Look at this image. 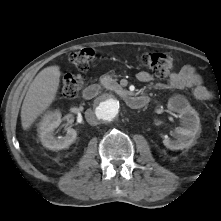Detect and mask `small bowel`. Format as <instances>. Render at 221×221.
<instances>
[{
	"label": "small bowel",
	"mask_w": 221,
	"mask_h": 221,
	"mask_svg": "<svg viewBox=\"0 0 221 221\" xmlns=\"http://www.w3.org/2000/svg\"><path fill=\"white\" fill-rule=\"evenodd\" d=\"M137 79L140 82H150L152 77L148 72L140 71L137 74ZM160 87H169L177 90L190 89L194 97L202 101H209L213 98L212 91L203 85L200 75L191 65H184L178 71L172 73L168 86Z\"/></svg>",
	"instance_id": "small-bowel-1"
}]
</instances>
